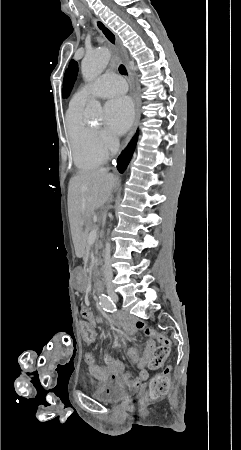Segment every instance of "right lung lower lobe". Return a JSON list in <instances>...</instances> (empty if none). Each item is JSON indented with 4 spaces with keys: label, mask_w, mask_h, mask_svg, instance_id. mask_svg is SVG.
Instances as JSON below:
<instances>
[{
    "label": "right lung lower lobe",
    "mask_w": 241,
    "mask_h": 450,
    "mask_svg": "<svg viewBox=\"0 0 241 450\" xmlns=\"http://www.w3.org/2000/svg\"><path fill=\"white\" fill-rule=\"evenodd\" d=\"M137 139L138 131L136 132L135 136L132 138L126 149L119 156L117 160V169L120 173H123V171L126 169L136 147Z\"/></svg>",
    "instance_id": "98d812e1"
}]
</instances>
